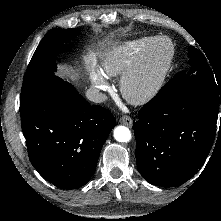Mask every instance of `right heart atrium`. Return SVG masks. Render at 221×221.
Here are the masks:
<instances>
[{
    "label": "right heart atrium",
    "mask_w": 221,
    "mask_h": 221,
    "mask_svg": "<svg viewBox=\"0 0 221 221\" xmlns=\"http://www.w3.org/2000/svg\"><path fill=\"white\" fill-rule=\"evenodd\" d=\"M92 85L99 91H108L110 88L107 81L100 73H96L93 75Z\"/></svg>",
    "instance_id": "1"
}]
</instances>
